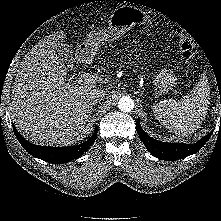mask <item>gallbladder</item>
Listing matches in <instances>:
<instances>
[{
    "label": "gallbladder",
    "instance_id": "gallbladder-1",
    "mask_svg": "<svg viewBox=\"0 0 221 221\" xmlns=\"http://www.w3.org/2000/svg\"><path fill=\"white\" fill-rule=\"evenodd\" d=\"M56 54L62 64L69 69L73 68L74 57L72 48L63 41H56Z\"/></svg>",
    "mask_w": 221,
    "mask_h": 221
}]
</instances>
